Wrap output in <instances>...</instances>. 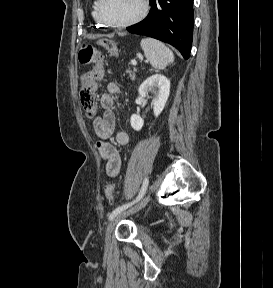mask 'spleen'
Segmentation results:
<instances>
[{"instance_id": "obj_1", "label": "spleen", "mask_w": 273, "mask_h": 288, "mask_svg": "<svg viewBox=\"0 0 273 288\" xmlns=\"http://www.w3.org/2000/svg\"><path fill=\"white\" fill-rule=\"evenodd\" d=\"M141 47L147 61L155 69H164L167 65L174 62L173 52L165 44L156 39H142Z\"/></svg>"}]
</instances>
